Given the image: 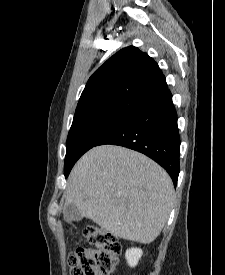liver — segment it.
Segmentation results:
<instances>
[{
	"mask_svg": "<svg viewBox=\"0 0 225 275\" xmlns=\"http://www.w3.org/2000/svg\"><path fill=\"white\" fill-rule=\"evenodd\" d=\"M167 172L147 156L114 145L97 146L73 167L64 209L74 203L115 237L149 244L160 234L173 204Z\"/></svg>",
	"mask_w": 225,
	"mask_h": 275,
	"instance_id": "6515ba94",
	"label": "liver"
}]
</instances>
